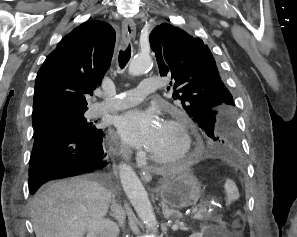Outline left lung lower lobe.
<instances>
[{
  "mask_svg": "<svg viewBox=\"0 0 297 237\" xmlns=\"http://www.w3.org/2000/svg\"><path fill=\"white\" fill-rule=\"evenodd\" d=\"M197 154H201L203 156H217V157H232L224 153L220 147V145L214 141L205 142L203 145H198L195 150Z\"/></svg>",
  "mask_w": 297,
  "mask_h": 237,
  "instance_id": "0a47b994",
  "label": "left lung lower lobe"
}]
</instances>
